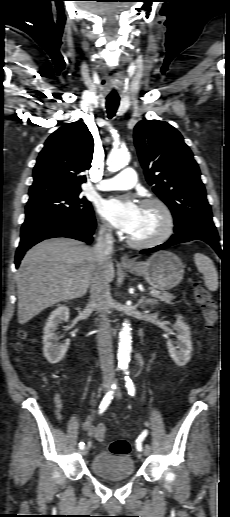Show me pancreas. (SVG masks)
<instances>
[{"instance_id": "pancreas-1", "label": "pancreas", "mask_w": 230, "mask_h": 517, "mask_svg": "<svg viewBox=\"0 0 230 517\" xmlns=\"http://www.w3.org/2000/svg\"><path fill=\"white\" fill-rule=\"evenodd\" d=\"M151 290H155V289H151ZM158 292L159 293L154 296L156 298L155 299L156 302L157 301H162V302L171 304L172 300L175 298V296H173L171 293H168V292H165V291H158Z\"/></svg>"}]
</instances>
